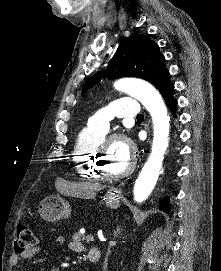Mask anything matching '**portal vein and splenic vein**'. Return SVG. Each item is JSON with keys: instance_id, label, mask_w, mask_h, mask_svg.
I'll use <instances>...</instances> for the list:
<instances>
[{"instance_id": "18ae733b", "label": "portal vein and splenic vein", "mask_w": 221, "mask_h": 271, "mask_svg": "<svg viewBox=\"0 0 221 271\" xmlns=\"http://www.w3.org/2000/svg\"><path fill=\"white\" fill-rule=\"evenodd\" d=\"M85 242H94L95 238L93 234H88L87 237H85Z\"/></svg>"}]
</instances>
